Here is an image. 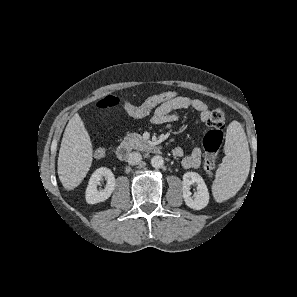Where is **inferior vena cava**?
<instances>
[{"label":"inferior vena cava","instance_id":"inferior-vena-cava-1","mask_svg":"<svg viewBox=\"0 0 297 297\" xmlns=\"http://www.w3.org/2000/svg\"><path fill=\"white\" fill-rule=\"evenodd\" d=\"M142 156L139 152H132L128 155L127 162L130 165H137L141 162Z\"/></svg>","mask_w":297,"mask_h":297}]
</instances>
